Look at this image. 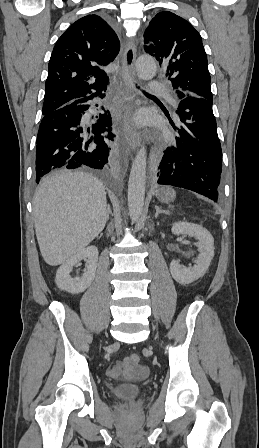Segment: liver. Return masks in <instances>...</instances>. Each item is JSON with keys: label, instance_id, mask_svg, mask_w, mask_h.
Returning a JSON list of instances; mask_svg holds the SVG:
<instances>
[{"label": "liver", "instance_id": "obj_1", "mask_svg": "<svg viewBox=\"0 0 259 448\" xmlns=\"http://www.w3.org/2000/svg\"><path fill=\"white\" fill-rule=\"evenodd\" d=\"M105 188L86 172L64 170L42 180L33 198L35 232L49 266L81 252L105 228Z\"/></svg>", "mask_w": 259, "mask_h": 448}]
</instances>
